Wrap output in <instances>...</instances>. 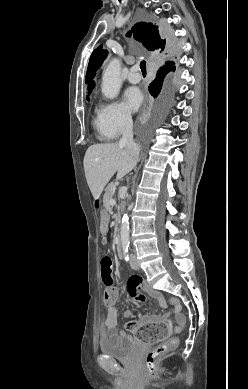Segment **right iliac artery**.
I'll list each match as a JSON object with an SVG mask.
<instances>
[{"instance_id": "right-iliac-artery-1", "label": "right iliac artery", "mask_w": 248, "mask_h": 389, "mask_svg": "<svg viewBox=\"0 0 248 389\" xmlns=\"http://www.w3.org/2000/svg\"><path fill=\"white\" fill-rule=\"evenodd\" d=\"M124 259H125V261L129 260V254H128V249L127 248L125 249V252H124Z\"/></svg>"}]
</instances>
